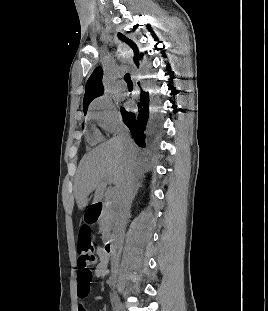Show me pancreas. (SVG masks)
I'll return each mask as SVG.
<instances>
[{
	"instance_id": "obj_1",
	"label": "pancreas",
	"mask_w": 268,
	"mask_h": 311,
	"mask_svg": "<svg viewBox=\"0 0 268 311\" xmlns=\"http://www.w3.org/2000/svg\"><path fill=\"white\" fill-rule=\"evenodd\" d=\"M113 219H114V212L109 209L104 210L99 220L100 232L102 234L103 240L108 239L110 236Z\"/></svg>"
}]
</instances>
